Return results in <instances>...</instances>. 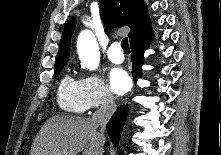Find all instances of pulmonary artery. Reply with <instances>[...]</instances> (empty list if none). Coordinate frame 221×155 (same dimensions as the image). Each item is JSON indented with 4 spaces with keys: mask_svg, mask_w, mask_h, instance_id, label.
Masks as SVG:
<instances>
[{
    "mask_svg": "<svg viewBox=\"0 0 221 155\" xmlns=\"http://www.w3.org/2000/svg\"><path fill=\"white\" fill-rule=\"evenodd\" d=\"M107 56L109 60L113 63L120 64L124 61V54L121 51V46L118 42H114L110 45Z\"/></svg>",
    "mask_w": 221,
    "mask_h": 155,
    "instance_id": "e3ab8cb5",
    "label": "pulmonary artery"
}]
</instances>
